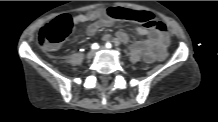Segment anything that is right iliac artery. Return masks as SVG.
Here are the masks:
<instances>
[{
  "mask_svg": "<svg viewBox=\"0 0 218 122\" xmlns=\"http://www.w3.org/2000/svg\"><path fill=\"white\" fill-rule=\"evenodd\" d=\"M91 48H92V50H96L99 48V45L97 43H93Z\"/></svg>",
  "mask_w": 218,
  "mask_h": 122,
  "instance_id": "82829eb1",
  "label": "right iliac artery"
}]
</instances>
